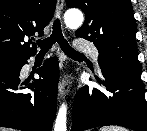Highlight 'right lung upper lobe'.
Instances as JSON below:
<instances>
[{"label": "right lung upper lobe", "mask_w": 147, "mask_h": 131, "mask_svg": "<svg viewBox=\"0 0 147 131\" xmlns=\"http://www.w3.org/2000/svg\"><path fill=\"white\" fill-rule=\"evenodd\" d=\"M55 5L56 0H0V60L34 55L37 48L30 47V37L43 36Z\"/></svg>", "instance_id": "cb5924a9"}]
</instances>
